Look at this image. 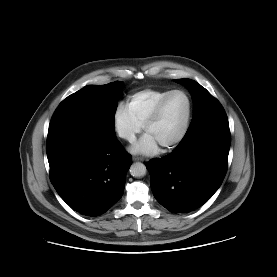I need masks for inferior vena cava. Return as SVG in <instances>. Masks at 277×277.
I'll list each match as a JSON object with an SVG mask.
<instances>
[{
  "mask_svg": "<svg viewBox=\"0 0 277 277\" xmlns=\"http://www.w3.org/2000/svg\"><path fill=\"white\" fill-rule=\"evenodd\" d=\"M119 135L120 137L127 139L129 142H133L136 139L133 133L127 131H121Z\"/></svg>",
  "mask_w": 277,
  "mask_h": 277,
  "instance_id": "inferior-vena-cava-1",
  "label": "inferior vena cava"
}]
</instances>
